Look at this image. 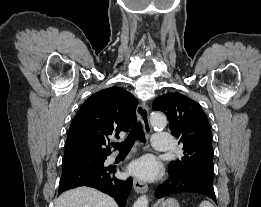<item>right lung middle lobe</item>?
Wrapping results in <instances>:
<instances>
[{
    "mask_svg": "<svg viewBox=\"0 0 261 207\" xmlns=\"http://www.w3.org/2000/svg\"><path fill=\"white\" fill-rule=\"evenodd\" d=\"M106 157H85L78 158L73 160H67L62 162V171L86 167V166H95L102 163Z\"/></svg>",
    "mask_w": 261,
    "mask_h": 207,
    "instance_id": "dd1d6c3e",
    "label": "right lung middle lobe"
}]
</instances>
